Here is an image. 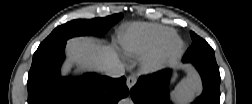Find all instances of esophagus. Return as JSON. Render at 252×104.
I'll use <instances>...</instances> for the list:
<instances>
[{
	"label": "esophagus",
	"instance_id": "obj_1",
	"mask_svg": "<svg viewBox=\"0 0 252 104\" xmlns=\"http://www.w3.org/2000/svg\"><path fill=\"white\" fill-rule=\"evenodd\" d=\"M137 82V77L136 75H130L127 78V87L131 89Z\"/></svg>",
	"mask_w": 252,
	"mask_h": 104
}]
</instances>
